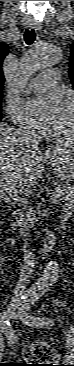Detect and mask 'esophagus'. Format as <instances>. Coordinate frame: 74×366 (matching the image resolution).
<instances>
[{
    "label": "esophagus",
    "mask_w": 74,
    "mask_h": 366,
    "mask_svg": "<svg viewBox=\"0 0 74 366\" xmlns=\"http://www.w3.org/2000/svg\"><path fill=\"white\" fill-rule=\"evenodd\" d=\"M38 22L35 21V20H30L28 23H27V27L30 28V29H35V30H38Z\"/></svg>",
    "instance_id": "1"
}]
</instances>
